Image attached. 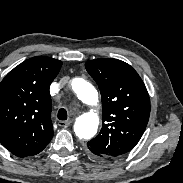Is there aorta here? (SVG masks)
<instances>
[{"label": "aorta", "mask_w": 183, "mask_h": 183, "mask_svg": "<svg viewBox=\"0 0 183 183\" xmlns=\"http://www.w3.org/2000/svg\"><path fill=\"white\" fill-rule=\"evenodd\" d=\"M72 89L83 103L93 106L98 103V92L95 87L83 78H74ZM99 117L93 111L82 114L76 119L74 131L80 139H91L97 132Z\"/></svg>", "instance_id": "aorta-1"}]
</instances>
